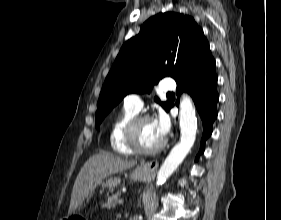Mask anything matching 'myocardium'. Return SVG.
Segmentation results:
<instances>
[{
    "instance_id": "myocardium-1",
    "label": "myocardium",
    "mask_w": 281,
    "mask_h": 220,
    "mask_svg": "<svg viewBox=\"0 0 281 220\" xmlns=\"http://www.w3.org/2000/svg\"><path fill=\"white\" fill-rule=\"evenodd\" d=\"M147 120H153L149 115H136L126 125L124 130V142L125 144L137 154H154L159 152L165 145V141H162L159 145L152 148H144L139 144L137 133L139 125Z\"/></svg>"
}]
</instances>
